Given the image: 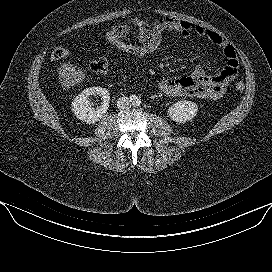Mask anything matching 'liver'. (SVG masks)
Here are the masks:
<instances>
[{"mask_svg": "<svg viewBox=\"0 0 272 272\" xmlns=\"http://www.w3.org/2000/svg\"><path fill=\"white\" fill-rule=\"evenodd\" d=\"M61 85L65 88L75 86L85 79V73L72 64H62L59 70Z\"/></svg>", "mask_w": 272, "mask_h": 272, "instance_id": "obj_1", "label": "liver"}]
</instances>
